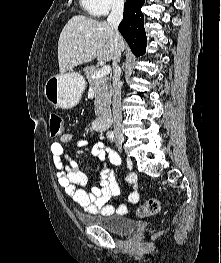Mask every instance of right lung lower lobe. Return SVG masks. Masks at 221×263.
Masks as SVG:
<instances>
[{"instance_id":"right-lung-lower-lobe-1","label":"right lung lower lobe","mask_w":221,"mask_h":263,"mask_svg":"<svg viewBox=\"0 0 221 263\" xmlns=\"http://www.w3.org/2000/svg\"><path fill=\"white\" fill-rule=\"evenodd\" d=\"M144 2L145 0H126L123 20L118 27L132 53L136 56L145 53L147 43L143 26L144 15L141 12Z\"/></svg>"}]
</instances>
